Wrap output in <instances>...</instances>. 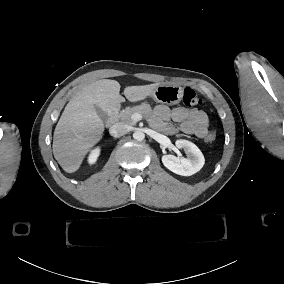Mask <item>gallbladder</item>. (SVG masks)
I'll return each instance as SVG.
<instances>
[{"instance_id":"gallbladder-1","label":"gallbladder","mask_w":284,"mask_h":284,"mask_svg":"<svg viewBox=\"0 0 284 284\" xmlns=\"http://www.w3.org/2000/svg\"><path fill=\"white\" fill-rule=\"evenodd\" d=\"M96 112L102 121L106 122L108 120L109 118L108 114L99 107H96Z\"/></svg>"}]
</instances>
